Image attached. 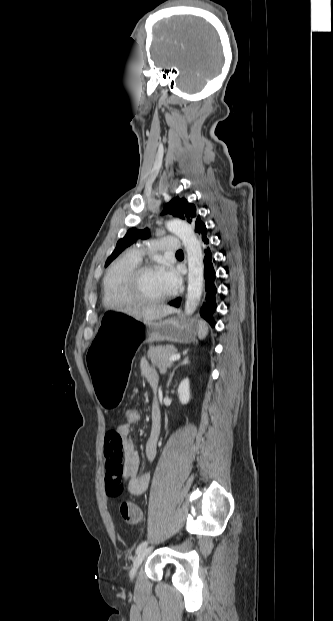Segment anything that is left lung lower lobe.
Instances as JSON below:
<instances>
[{
  "label": "left lung lower lobe",
  "mask_w": 333,
  "mask_h": 621,
  "mask_svg": "<svg viewBox=\"0 0 333 621\" xmlns=\"http://www.w3.org/2000/svg\"><path fill=\"white\" fill-rule=\"evenodd\" d=\"M197 233V238L204 252V278H205V299L203 305L200 309V315L204 318L212 327H214L215 322L213 318V314L216 310V294L217 287L215 284L216 280V272L214 269V259L213 254L210 249L209 239L207 235V228L205 224H203L200 228L195 230ZM181 298H176L175 300L170 302V305L179 307Z\"/></svg>",
  "instance_id": "left-lung-lower-lobe-1"
}]
</instances>
